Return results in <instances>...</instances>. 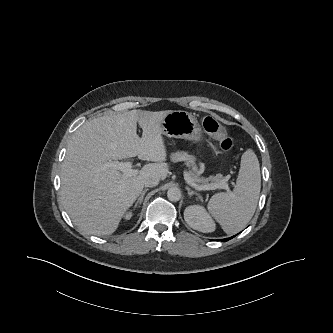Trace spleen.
I'll return each instance as SVG.
<instances>
[{"label":"spleen","instance_id":"obj_1","mask_svg":"<svg viewBox=\"0 0 333 333\" xmlns=\"http://www.w3.org/2000/svg\"><path fill=\"white\" fill-rule=\"evenodd\" d=\"M261 189L259 161L253 150L241 157L236 185L231 192L214 194L207 208L227 234L241 231L253 217Z\"/></svg>","mask_w":333,"mask_h":333}]
</instances>
